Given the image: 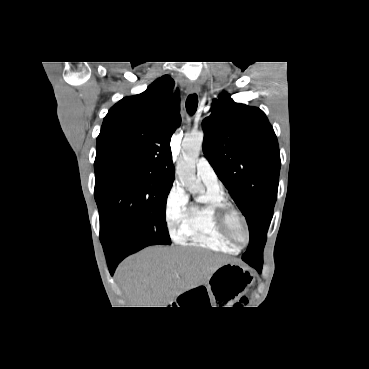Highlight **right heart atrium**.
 Wrapping results in <instances>:
<instances>
[{
	"label": "right heart atrium",
	"instance_id": "right-heart-atrium-1",
	"mask_svg": "<svg viewBox=\"0 0 369 369\" xmlns=\"http://www.w3.org/2000/svg\"><path fill=\"white\" fill-rule=\"evenodd\" d=\"M189 207L188 195L183 187L176 183L174 184L165 201V219L170 232L177 237V227L185 218Z\"/></svg>",
	"mask_w": 369,
	"mask_h": 369
}]
</instances>
